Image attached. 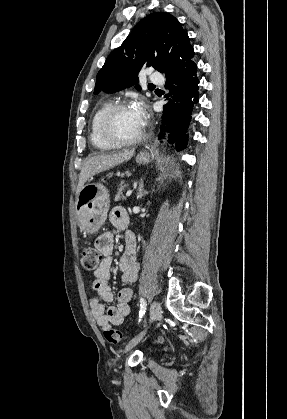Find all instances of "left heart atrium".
Wrapping results in <instances>:
<instances>
[{"mask_svg": "<svg viewBox=\"0 0 287 419\" xmlns=\"http://www.w3.org/2000/svg\"><path fill=\"white\" fill-rule=\"evenodd\" d=\"M131 110L136 116V118L140 121V123L144 124L146 117V110L144 104L141 101H135Z\"/></svg>", "mask_w": 287, "mask_h": 419, "instance_id": "39dd6f15", "label": "left heart atrium"}]
</instances>
